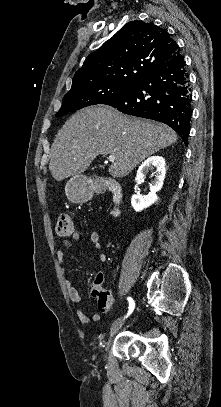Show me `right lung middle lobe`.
<instances>
[{
    "mask_svg": "<svg viewBox=\"0 0 221 407\" xmlns=\"http://www.w3.org/2000/svg\"><path fill=\"white\" fill-rule=\"evenodd\" d=\"M134 86L135 84L102 83L70 91L64 96L62 106L56 116H63L90 105L105 104L126 94Z\"/></svg>",
    "mask_w": 221,
    "mask_h": 407,
    "instance_id": "right-lung-middle-lobe-1",
    "label": "right lung middle lobe"
}]
</instances>
